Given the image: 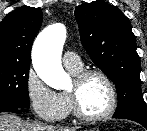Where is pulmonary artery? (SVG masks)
<instances>
[{"instance_id":"1","label":"pulmonary artery","mask_w":147,"mask_h":131,"mask_svg":"<svg viewBox=\"0 0 147 131\" xmlns=\"http://www.w3.org/2000/svg\"><path fill=\"white\" fill-rule=\"evenodd\" d=\"M63 64L67 69L79 70L82 68V62L79 56L71 51H66L63 55Z\"/></svg>"}]
</instances>
